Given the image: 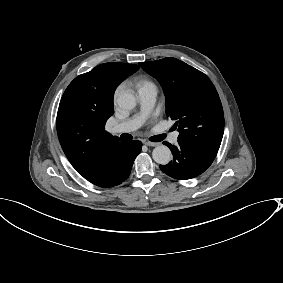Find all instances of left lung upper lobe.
I'll return each mask as SVG.
<instances>
[{
    "mask_svg": "<svg viewBox=\"0 0 283 283\" xmlns=\"http://www.w3.org/2000/svg\"><path fill=\"white\" fill-rule=\"evenodd\" d=\"M139 65L163 87L166 114L177 120L174 126L178 127V140L217 152L224 132V114L211 80L176 58Z\"/></svg>",
    "mask_w": 283,
    "mask_h": 283,
    "instance_id": "obj_1",
    "label": "left lung upper lobe"
}]
</instances>
